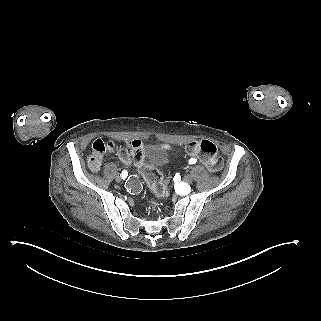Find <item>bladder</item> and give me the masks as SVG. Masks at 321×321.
<instances>
[{"label": "bladder", "mask_w": 321, "mask_h": 321, "mask_svg": "<svg viewBox=\"0 0 321 321\" xmlns=\"http://www.w3.org/2000/svg\"><path fill=\"white\" fill-rule=\"evenodd\" d=\"M141 159L149 167L158 168L167 161V152L165 149L152 145L141 149Z\"/></svg>", "instance_id": "31cf9c89"}]
</instances>
